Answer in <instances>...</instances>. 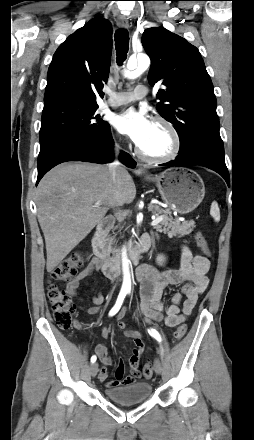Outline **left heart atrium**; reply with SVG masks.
I'll list each match as a JSON object with an SVG mask.
<instances>
[{"mask_svg": "<svg viewBox=\"0 0 254 440\" xmlns=\"http://www.w3.org/2000/svg\"><path fill=\"white\" fill-rule=\"evenodd\" d=\"M154 122L142 110L128 108L113 118L114 127L138 147L149 136Z\"/></svg>", "mask_w": 254, "mask_h": 440, "instance_id": "1", "label": "left heart atrium"}]
</instances>
